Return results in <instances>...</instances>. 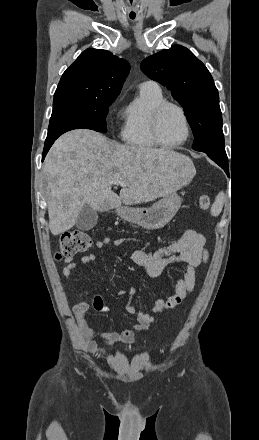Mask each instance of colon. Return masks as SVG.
<instances>
[{
    "label": "colon",
    "instance_id": "colon-1",
    "mask_svg": "<svg viewBox=\"0 0 259 440\" xmlns=\"http://www.w3.org/2000/svg\"><path fill=\"white\" fill-rule=\"evenodd\" d=\"M210 203V197L207 194L199 196L198 204L202 210H207ZM92 242V237L84 231L73 230L65 232L60 238L56 258H71L88 250L91 247Z\"/></svg>",
    "mask_w": 259,
    "mask_h": 440
}]
</instances>
